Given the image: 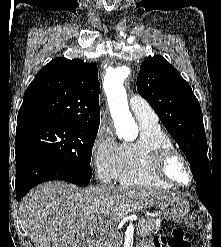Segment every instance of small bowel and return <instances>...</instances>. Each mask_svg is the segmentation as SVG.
<instances>
[{"mask_svg":"<svg viewBox=\"0 0 221 247\" xmlns=\"http://www.w3.org/2000/svg\"><path fill=\"white\" fill-rule=\"evenodd\" d=\"M139 247H159V246L156 245L155 243L146 242L144 244H141Z\"/></svg>","mask_w":221,"mask_h":247,"instance_id":"small-bowel-1","label":"small bowel"}]
</instances>
